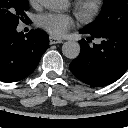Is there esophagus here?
Returning a JSON list of instances; mask_svg holds the SVG:
<instances>
[{
	"label": "esophagus",
	"instance_id": "1",
	"mask_svg": "<svg viewBox=\"0 0 128 128\" xmlns=\"http://www.w3.org/2000/svg\"><path fill=\"white\" fill-rule=\"evenodd\" d=\"M49 42H50L51 45H53V44L62 43L63 40L61 38H57V37H54V36H49Z\"/></svg>",
	"mask_w": 128,
	"mask_h": 128
}]
</instances>
